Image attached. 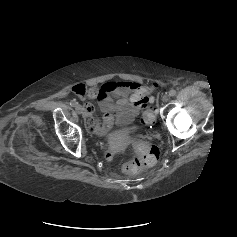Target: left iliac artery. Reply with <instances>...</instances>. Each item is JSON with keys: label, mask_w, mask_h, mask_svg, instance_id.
<instances>
[{"label": "left iliac artery", "mask_w": 237, "mask_h": 237, "mask_svg": "<svg viewBox=\"0 0 237 237\" xmlns=\"http://www.w3.org/2000/svg\"><path fill=\"white\" fill-rule=\"evenodd\" d=\"M169 95L170 96H175L176 95V91L174 89L170 90Z\"/></svg>", "instance_id": "obj_1"}]
</instances>
